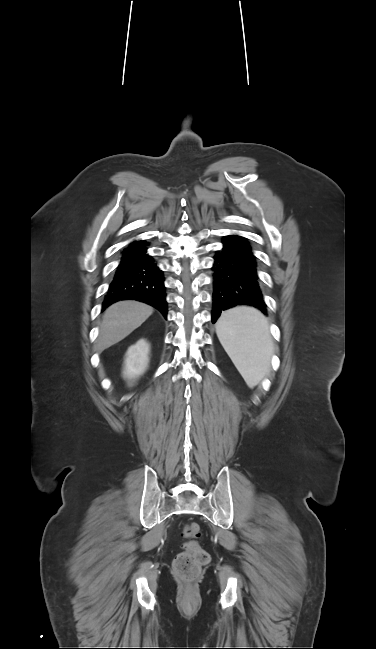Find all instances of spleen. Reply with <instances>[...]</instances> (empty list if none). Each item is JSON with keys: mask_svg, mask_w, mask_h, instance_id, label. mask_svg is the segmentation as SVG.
I'll return each mask as SVG.
<instances>
[{"mask_svg": "<svg viewBox=\"0 0 376 649\" xmlns=\"http://www.w3.org/2000/svg\"><path fill=\"white\" fill-rule=\"evenodd\" d=\"M216 333L247 385L256 386L269 370L273 353L266 317L255 308L238 306L221 315Z\"/></svg>", "mask_w": 376, "mask_h": 649, "instance_id": "obj_1", "label": "spleen"}]
</instances>
